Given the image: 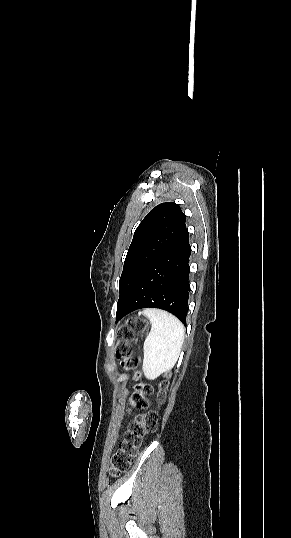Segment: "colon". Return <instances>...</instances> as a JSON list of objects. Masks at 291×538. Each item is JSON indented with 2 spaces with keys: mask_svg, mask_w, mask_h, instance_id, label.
Wrapping results in <instances>:
<instances>
[{
  "mask_svg": "<svg viewBox=\"0 0 291 538\" xmlns=\"http://www.w3.org/2000/svg\"><path fill=\"white\" fill-rule=\"evenodd\" d=\"M146 320L140 317L128 319L125 327L120 330V343L116 349V357L120 359L122 366L126 369H135L137 360L132 356L129 342L134 338L135 332H142L147 327ZM136 384L131 396V404L141 410L130 422L129 427L119 444V448L113 455L110 465V473L118 476L129 469L131 462L138 453L145 435L152 433L157 428V414L153 411H146L149 406L148 396L154 390L153 387L139 380V374H135ZM167 390V380L159 383L156 398L162 402Z\"/></svg>",
  "mask_w": 291,
  "mask_h": 538,
  "instance_id": "obj_1",
  "label": "colon"
}]
</instances>
